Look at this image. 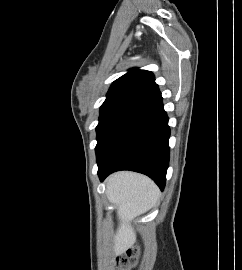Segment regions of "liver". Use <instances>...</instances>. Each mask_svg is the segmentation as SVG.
Listing matches in <instances>:
<instances>
[{
    "instance_id": "1",
    "label": "liver",
    "mask_w": 242,
    "mask_h": 270,
    "mask_svg": "<svg viewBox=\"0 0 242 270\" xmlns=\"http://www.w3.org/2000/svg\"><path fill=\"white\" fill-rule=\"evenodd\" d=\"M108 200L118 207L120 220L114 237L117 251H124L136 241L131 221L151 209L159 199V189L148 177L128 171L114 173L106 180Z\"/></svg>"
}]
</instances>
